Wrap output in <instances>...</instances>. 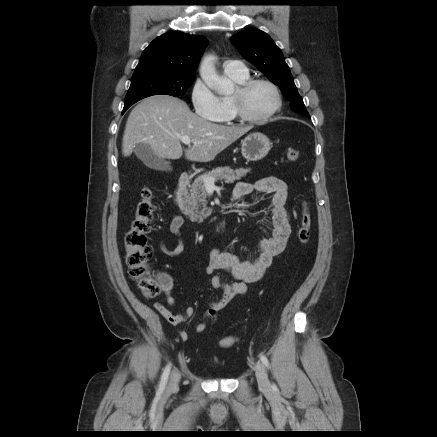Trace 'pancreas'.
Masks as SVG:
<instances>
[{"instance_id":"cf45deb5","label":"pancreas","mask_w":437,"mask_h":437,"mask_svg":"<svg viewBox=\"0 0 437 437\" xmlns=\"http://www.w3.org/2000/svg\"><path fill=\"white\" fill-rule=\"evenodd\" d=\"M250 169L239 168L236 170L230 167H217L209 172L198 176L191 185L189 193L185 195L184 203L186 208L184 213L190 217L192 222H203L205 218L210 216L212 210L207 207L206 189L204 186V178L212 177L215 181L221 180L225 183H233L235 180H240L246 176Z\"/></svg>"}]
</instances>
